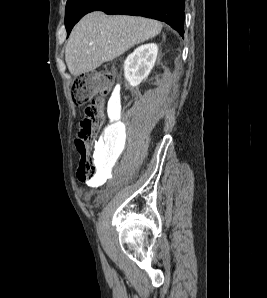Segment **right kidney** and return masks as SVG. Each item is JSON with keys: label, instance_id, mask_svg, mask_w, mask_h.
I'll list each match as a JSON object with an SVG mask.
<instances>
[{"label": "right kidney", "instance_id": "1", "mask_svg": "<svg viewBox=\"0 0 267 298\" xmlns=\"http://www.w3.org/2000/svg\"><path fill=\"white\" fill-rule=\"evenodd\" d=\"M158 53L154 43L137 47L124 62V76L130 86H138L150 73Z\"/></svg>", "mask_w": 267, "mask_h": 298}]
</instances>
